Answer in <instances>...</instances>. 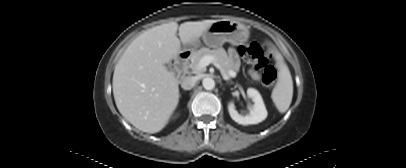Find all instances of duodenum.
<instances>
[{
	"label": "duodenum",
	"mask_w": 406,
	"mask_h": 168,
	"mask_svg": "<svg viewBox=\"0 0 406 168\" xmlns=\"http://www.w3.org/2000/svg\"><path fill=\"white\" fill-rule=\"evenodd\" d=\"M191 53L189 51H182L180 52L174 61L175 70L180 77L185 76L186 72V65L189 61Z\"/></svg>",
	"instance_id": "410a0bca"
}]
</instances>
